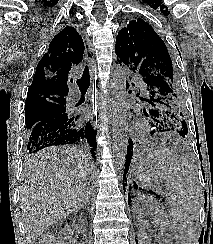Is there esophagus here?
<instances>
[{
	"label": "esophagus",
	"mask_w": 213,
	"mask_h": 244,
	"mask_svg": "<svg viewBox=\"0 0 213 244\" xmlns=\"http://www.w3.org/2000/svg\"><path fill=\"white\" fill-rule=\"evenodd\" d=\"M88 50H89L90 53H92L93 52L92 46L88 47ZM90 68H91L92 76H93V79H94V76L96 74V63H95L93 58L92 59L90 58Z\"/></svg>",
	"instance_id": "1"
}]
</instances>
